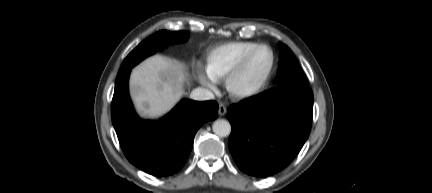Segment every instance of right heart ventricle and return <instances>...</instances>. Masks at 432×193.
I'll return each instance as SVG.
<instances>
[{
  "instance_id": "obj_1",
  "label": "right heart ventricle",
  "mask_w": 432,
  "mask_h": 193,
  "mask_svg": "<svg viewBox=\"0 0 432 193\" xmlns=\"http://www.w3.org/2000/svg\"><path fill=\"white\" fill-rule=\"evenodd\" d=\"M258 45L260 44L253 41H239L211 49L206 57L209 75L215 80L224 79L242 58Z\"/></svg>"
}]
</instances>
